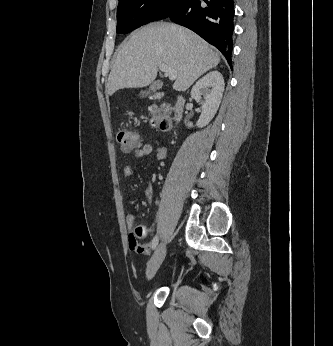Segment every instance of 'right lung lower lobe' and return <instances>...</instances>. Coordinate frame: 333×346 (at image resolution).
Segmentation results:
<instances>
[{
	"instance_id": "right-lung-lower-lobe-1",
	"label": "right lung lower lobe",
	"mask_w": 333,
	"mask_h": 346,
	"mask_svg": "<svg viewBox=\"0 0 333 346\" xmlns=\"http://www.w3.org/2000/svg\"><path fill=\"white\" fill-rule=\"evenodd\" d=\"M234 12L233 0H184L168 18L218 48L232 68Z\"/></svg>"
}]
</instances>
